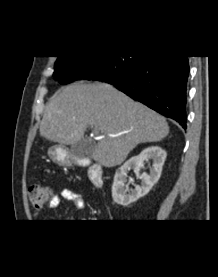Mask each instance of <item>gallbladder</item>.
<instances>
[{
	"instance_id": "obj_1",
	"label": "gallbladder",
	"mask_w": 218,
	"mask_h": 277,
	"mask_svg": "<svg viewBox=\"0 0 218 277\" xmlns=\"http://www.w3.org/2000/svg\"><path fill=\"white\" fill-rule=\"evenodd\" d=\"M94 150L93 142L90 139L82 138L71 146V152L77 157L91 154Z\"/></svg>"
}]
</instances>
